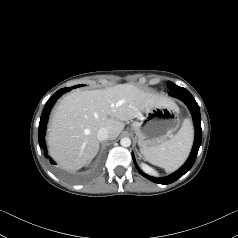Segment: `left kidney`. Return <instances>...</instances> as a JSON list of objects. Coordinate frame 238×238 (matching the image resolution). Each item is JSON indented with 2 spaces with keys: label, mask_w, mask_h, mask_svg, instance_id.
Returning <instances> with one entry per match:
<instances>
[{
  "label": "left kidney",
  "mask_w": 238,
  "mask_h": 238,
  "mask_svg": "<svg viewBox=\"0 0 238 238\" xmlns=\"http://www.w3.org/2000/svg\"><path fill=\"white\" fill-rule=\"evenodd\" d=\"M143 167H144V169H145V170H147V171L151 172V169H150L148 166H146V165H143Z\"/></svg>",
  "instance_id": "obj_1"
}]
</instances>
